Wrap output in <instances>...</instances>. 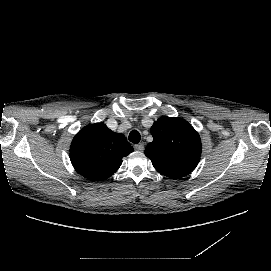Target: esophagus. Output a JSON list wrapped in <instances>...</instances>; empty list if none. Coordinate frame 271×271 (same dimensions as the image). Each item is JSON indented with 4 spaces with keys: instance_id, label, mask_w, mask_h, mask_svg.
Here are the masks:
<instances>
[{
    "instance_id": "obj_1",
    "label": "esophagus",
    "mask_w": 271,
    "mask_h": 271,
    "mask_svg": "<svg viewBox=\"0 0 271 271\" xmlns=\"http://www.w3.org/2000/svg\"><path fill=\"white\" fill-rule=\"evenodd\" d=\"M134 149L137 151L143 152L145 149V144L143 142L136 144V145H134Z\"/></svg>"
}]
</instances>
